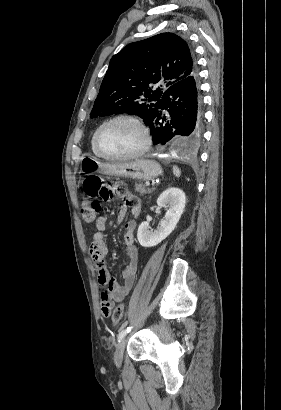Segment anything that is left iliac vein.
<instances>
[{
  "mask_svg": "<svg viewBox=\"0 0 281 410\" xmlns=\"http://www.w3.org/2000/svg\"><path fill=\"white\" fill-rule=\"evenodd\" d=\"M126 347V339L122 338L118 345L116 346V350L114 353V363L116 366H120L123 360V353Z\"/></svg>",
  "mask_w": 281,
  "mask_h": 410,
  "instance_id": "1",
  "label": "left iliac vein"
}]
</instances>
